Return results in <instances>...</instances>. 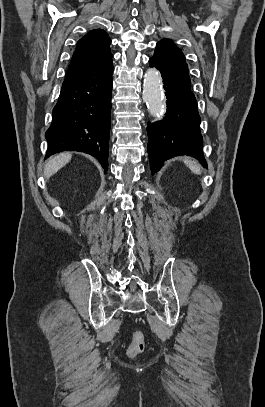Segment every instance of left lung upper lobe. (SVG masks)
<instances>
[{"instance_id":"5c2ea615","label":"left lung upper lobe","mask_w":265,"mask_h":407,"mask_svg":"<svg viewBox=\"0 0 265 407\" xmlns=\"http://www.w3.org/2000/svg\"><path fill=\"white\" fill-rule=\"evenodd\" d=\"M152 58L172 73L190 80L185 56L170 39H162L157 43L155 54Z\"/></svg>"}]
</instances>
